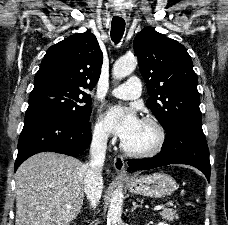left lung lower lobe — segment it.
<instances>
[{"label":"left lung lower lobe","mask_w":228,"mask_h":225,"mask_svg":"<svg viewBox=\"0 0 228 225\" xmlns=\"http://www.w3.org/2000/svg\"><path fill=\"white\" fill-rule=\"evenodd\" d=\"M160 153L152 158L131 159L128 170H147L169 164H187L203 172L210 181L209 149L202 126L179 123L166 130Z\"/></svg>","instance_id":"obj_1"}]
</instances>
